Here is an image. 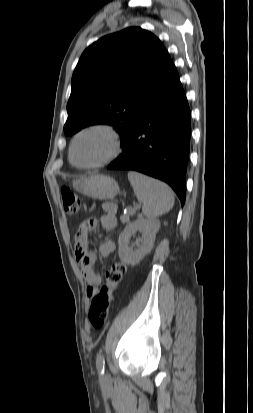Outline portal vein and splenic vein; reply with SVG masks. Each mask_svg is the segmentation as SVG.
Masks as SVG:
<instances>
[{"instance_id": "18ae733b", "label": "portal vein and splenic vein", "mask_w": 253, "mask_h": 413, "mask_svg": "<svg viewBox=\"0 0 253 413\" xmlns=\"http://www.w3.org/2000/svg\"><path fill=\"white\" fill-rule=\"evenodd\" d=\"M135 212V210H132V213H134Z\"/></svg>"}]
</instances>
